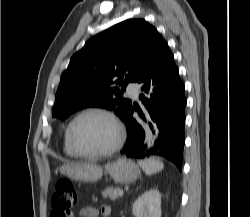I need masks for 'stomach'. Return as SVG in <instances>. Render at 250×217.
<instances>
[{
    "instance_id": "obj_1",
    "label": "stomach",
    "mask_w": 250,
    "mask_h": 217,
    "mask_svg": "<svg viewBox=\"0 0 250 217\" xmlns=\"http://www.w3.org/2000/svg\"><path fill=\"white\" fill-rule=\"evenodd\" d=\"M117 183L134 182L140 175V169L133 161L121 158L102 168L93 163H71L59 168V171L76 180L96 182L101 179L103 171Z\"/></svg>"
}]
</instances>
